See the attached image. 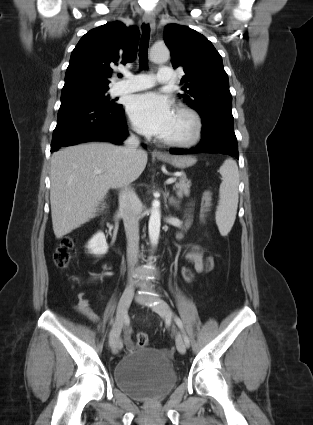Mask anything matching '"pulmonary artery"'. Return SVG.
Instances as JSON below:
<instances>
[{"instance_id": "1", "label": "pulmonary artery", "mask_w": 313, "mask_h": 425, "mask_svg": "<svg viewBox=\"0 0 313 425\" xmlns=\"http://www.w3.org/2000/svg\"><path fill=\"white\" fill-rule=\"evenodd\" d=\"M173 70L169 67H161L156 78L147 73L127 74L126 80L113 85L114 95L136 92L153 87L156 83L168 84L173 80Z\"/></svg>"}]
</instances>
